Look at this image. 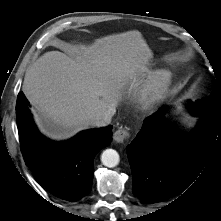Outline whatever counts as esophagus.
I'll list each match as a JSON object with an SVG mask.
<instances>
[{"instance_id":"1","label":"esophagus","mask_w":221,"mask_h":221,"mask_svg":"<svg viewBox=\"0 0 221 221\" xmlns=\"http://www.w3.org/2000/svg\"><path fill=\"white\" fill-rule=\"evenodd\" d=\"M129 136H130V133H129L128 129L120 128L115 131V133L113 135V139L117 143H122L125 140H127L129 138Z\"/></svg>"}]
</instances>
